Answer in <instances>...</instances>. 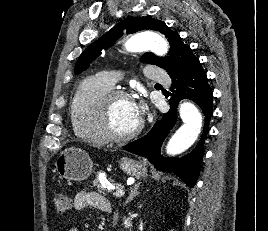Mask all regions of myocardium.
<instances>
[{
    "label": "myocardium",
    "instance_id": "f54148a6",
    "mask_svg": "<svg viewBox=\"0 0 268 231\" xmlns=\"http://www.w3.org/2000/svg\"><path fill=\"white\" fill-rule=\"evenodd\" d=\"M119 99H131V95L121 89H110L99 100L97 121L101 133L112 141H125L139 135L143 129L144 122L141 119L139 125L132 131L126 133L118 132L112 124L111 110L114 103Z\"/></svg>",
    "mask_w": 268,
    "mask_h": 231
}]
</instances>
